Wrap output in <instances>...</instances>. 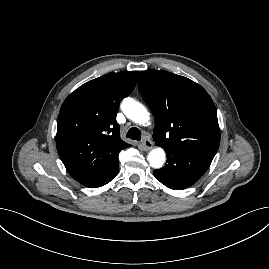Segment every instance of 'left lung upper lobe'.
<instances>
[{
    "label": "left lung upper lobe",
    "mask_w": 269,
    "mask_h": 269,
    "mask_svg": "<svg viewBox=\"0 0 269 269\" xmlns=\"http://www.w3.org/2000/svg\"><path fill=\"white\" fill-rule=\"evenodd\" d=\"M138 89L154 115L153 139L158 146L216 154L217 112L204 88L167 71H142Z\"/></svg>",
    "instance_id": "5c2ea615"
}]
</instances>
